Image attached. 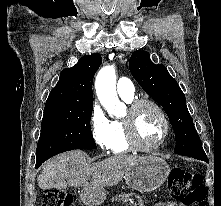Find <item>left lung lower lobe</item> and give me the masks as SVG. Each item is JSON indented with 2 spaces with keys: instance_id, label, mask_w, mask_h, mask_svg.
Listing matches in <instances>:
<instances>
[{
  "instance_id": "1",
  "label": "left lung lower lobe",
  "mask_w": 221,
  "mask_h": 206,
  "mask_svg": "<svg viewBox=\"0 0 221 206\" xmlns=\"http://www.w3.org/2000/svg\"><path fill=\"white\" fill-rule=\"evenodd\" d=\"M193 158H195V157H193ZM196 159H200V160H203V161H205V162H207V163H208L207 156H203V157H197Z\"/></svg>"
}]
</instances>
